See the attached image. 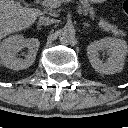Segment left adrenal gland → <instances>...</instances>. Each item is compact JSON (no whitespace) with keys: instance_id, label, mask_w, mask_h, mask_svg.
Wrapping results in <instances>:
<instances>
[{"instance_id":"left-adrenal-gland-1","label":"left adrenal gland","mask_w":128,"mask_h":128,"mask_svg":"<svg viewBox=\"0 0 128 128\" xmlns=\"http://www.w3.org/2000/svg\"><path fill=\"white\" fill-rule=\"evenodd\" d=\"M90 25L88 23H83V27H89Z\"/></svg>"}]
</instances>
